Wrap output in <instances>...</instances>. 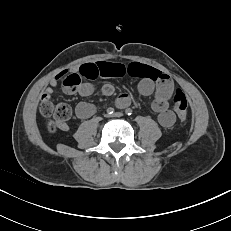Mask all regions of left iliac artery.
I'll list each match as a JSON object with an SVG mask.
<instances>
[{
  "mask_svg": "<svg viewBox=\"0 0 231 231\" xmlns=\"http://www.w3.org/2000/svg\"><path fill=\"white\" fill-rule=\"evenodd\" d=\"M125 113H126L128 116H130V115H132L133 111H132V109L128 108V109L125 110Z\"/></svg>",
  "mask_w": 231,
  "mask_h": 231,
  "instance_id": "1",
  "label": "left iliac artery"
}]
</instances>
